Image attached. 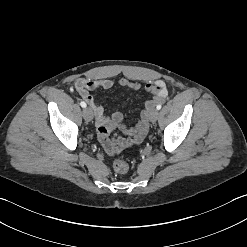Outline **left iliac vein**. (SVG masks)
Returning <instances> with one entry per match:
<instances>
[{"label": "left iliac vein", "instance_id": "4c4485c4", "mask_svg": "<svg viewBox=\"0 0 247 247\" xmlns=\"http://www.w3.org/2000/svg\"><path fill=\"white\" fill-rule=\"evenodd\" d=\"M158 115H159V112L157 109H152L150 112H149V119L151 122H155L158 118Z\"/></svg>", "mask_w": 247, "mask_h": 247}]
</instances>
